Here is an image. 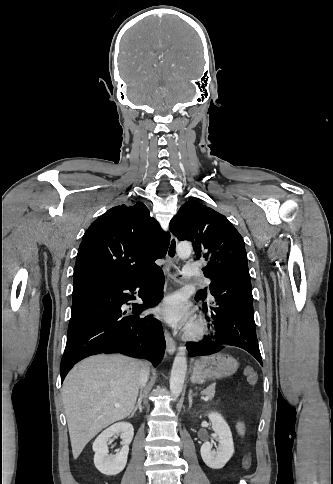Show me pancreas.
Listing matches in <instances>:
<instances>
[{
    "label": "pancreas",
    "mask_w": 333,
    "mask_h": 484,
    "mask_svg": "<svg viewBox=\"0 0 333 484\" xmlns=\"http://www.w3.org/2000/svg\"><path fill=\"white\" fill-rule=\"evenodd\" d=\"M202 395L212 399L215 395V384L212 383L210 384L206 389H204L202 392Z\"/></svg>",
    "instance_id": "cf45deb5"
}]
</instances>
